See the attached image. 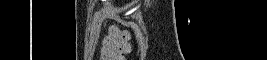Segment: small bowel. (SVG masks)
Wrapping results in <instances>:
<instances>
[{
    "label": "small bowel",
    "mask_w": 267,
    "mask_h": 60,
    "mask_svg": "<svg viewBox=\"0 0 267 60\" xmlns=\"http://www.w3.org/2000/svg\"><path fill=\"white\" fill-rule=\"evenodd\" d=\"M115 30V28H112L110 31H114Z\"/></svg>",
    "instance_id": "c3829d8e"
}]
</instances>
